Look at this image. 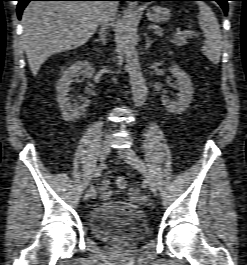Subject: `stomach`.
<instances>
[{
	"instance_id": "1",
	"label": "stomach",
	"mask_w": 247,
	"mask_h": 265,
	"mask_svg": "<svg viewBox=\"0 0 247 265\" xmlns=\"http://www.w3.org/2000/svg\"><path fill=\"white\" fill-rule=\"evenodd\" d=\"M146 16L150 21L160 23L167 21L170 18L171 14L170 10L165 7L152 6L147 10Z\"/></svg>"
}]
</instances>
